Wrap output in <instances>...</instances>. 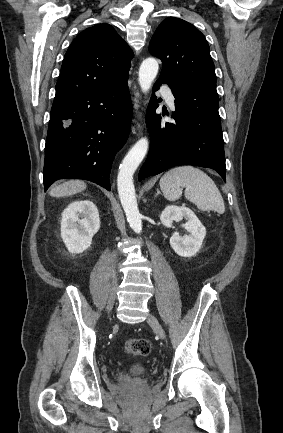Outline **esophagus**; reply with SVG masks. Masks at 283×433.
Instances as JSON below:
<instances>
[{"label": "esophagus", "instance_id": "esophagus-1", "mask_svg": "<svg viewBox=\"0 0 283 433\" xmlns=\"http://www.w3.org/2000/svg\"><path fill=\"white\" fill-rule=\"evenodd\" d=\"M139 103H140V94H139V92H135V94H134V106L136 109L139 108Z\"/></svg>", "mask_w": 283, "mask_h": 433}]
</instances>
